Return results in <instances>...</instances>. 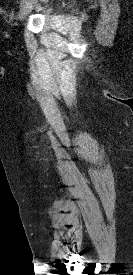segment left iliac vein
<instances>
[{
    "mask_svg": "<svg viewBox=\"0 0 133 275\" xmlns=\"http://www.w3.org/2000/svg\"><path fill=\"white\" fill-rule=\"evenodd\" d=\"M36 3L37 0H27V2L21 7L19 11L18 18L20 21H23L28 16Z\"/></svg>",
    "mask_w": 133,
    "mask_h": 275,
    "instance_id": "4c4485c4",
    "label": "left iliac vein"
}]
</instances>
